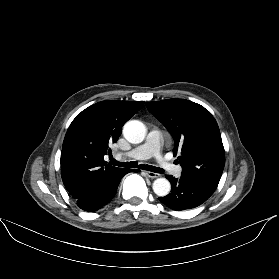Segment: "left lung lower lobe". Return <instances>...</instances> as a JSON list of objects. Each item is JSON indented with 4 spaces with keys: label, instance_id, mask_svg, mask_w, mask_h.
Segmentation results:
<instances>
[{
    "label": "left lung lower lobe",
    "instance_id": "obj_1",
    "mask_svg": "<svg viewBox=\"0 0 279 279\" xmlns=\"http://www.w3.org/2000/svg\"><path fill=\"white\" fill-rule=\"evenodd\" d=\"M166 178L171 182V193L165 197H159V200L177 211L197 207L214 193L202 184L182 176L176 179L167 175Z\"/></svg>",
    "mask_w": 279,
    "mask_h": 279
}]
</instances>
